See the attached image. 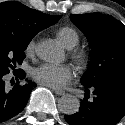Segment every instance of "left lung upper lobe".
I'll use <instances>...</instances> for the list:
<instances>
[{"mask_svg": "<svg viewBox=\"0 0 125 125\" xmlns=\"http://www.w3.org/2000/svg\"><path fill=\"white\" fill-rule=\"evenodd\" d=\"M70 18L83 31L92 49L82 85L90 87L102 80L125 79V26L101 13L72 14Z\"/></svg>", "mask_w": 125, "mask_h": 125, "instance_id": "1", "label": "left lung upper lobe"}]
</instances>
